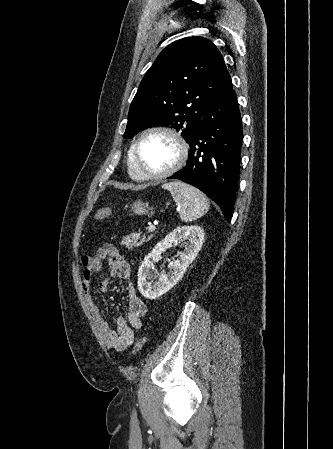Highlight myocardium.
Wrapping results in <instances>:
<instances>
[{
	"instance_id": "obj_1",
	"label": "myocardium",
	"mask_w": 333,
	"mask_h": 449,
	"mask_svg": "<svg viewBox=\"0 0 333 449\" xmlns=\"http://www.w3.org/2000/svg\"><path fill=\"white\" fill-rule=\"evenodd\" d=\"M151 134H162L165 136H168L173 140V142L176 145L177 148V156L174 161V163L167 169L157 172V173H145L140 164V158H139V149L142 141L145 137L151 135ZM132 153H133V159L135 164V169L140 177L141 180L144 181H156L161 180L164 178H167L174 173H176L178 170H180L183 165L185 164L187 158H188V145L185 141V139L174 129L163 127V126H152L149 128L144 129L139 136L137 137L136 141L133 144L132 147Z\"/></svg>"
}]
</instances>
